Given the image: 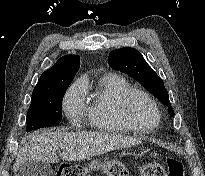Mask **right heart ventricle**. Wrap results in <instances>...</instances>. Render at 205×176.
I'll return each instance as SVG.
<instances>
[{
  "label": "right heart ventricle",
  "instance_id": "1",
  "mask_svg": "<svg viewBox=\"0 0 205 176\" xmlns=\"http://www.w3.org/2000/svg\"><path fill=\"white\" fill-rule=\"evenodd\" d=\"M132 89L131 83L118 74L107 73L98 79L87 107L88 117L97 131L109 134L133 131L121 114V100Z\"/></svg>",
  "mask_w": 205,
  "mask_h": 176
}]
</instances>
